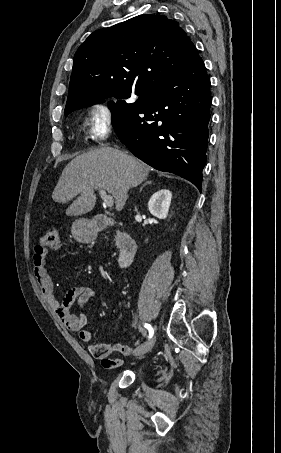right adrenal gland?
<instances>
[{
  "label": "right adrenal gland",
  "instance_id": "right-adrenal-gland-1",
  "mask_svg": "<svg viewBox=\"0 0 281 453\" xmlns=\"http://www.w3.org/2000/svg\"><path fill=\"white\" fill-rule=\"evenodd\" d=\"M146 184H152V180H146L145 184H142V186H140L139 192H141V190H143V186H146Z\"/></svg>",
  "mask_w": 281,
  "mask_h": 453
}]
</instances>
